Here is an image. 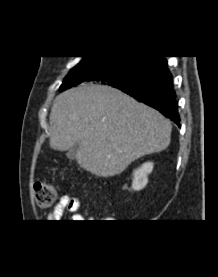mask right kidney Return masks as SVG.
Segmentation results:
<instances>
[{
  "label": "right kidney",
  "instance_id": "obj_1",
  "mask_svg": "<svg viewBox=\"0 0 218 277\" xmlns=\"http://www.w3.org/2000/svg\"><path fill=\"white\" fill-rule=\"evenodd\" d=\"M153 165L154 164L152 162H145L139 168L134 170L133 181H132V188L134 190L139 191L147 185L148 174L152 172Z\"/></svg>",
  "mask_w": 218,
  "mask_h": 277
}]
</instances>
